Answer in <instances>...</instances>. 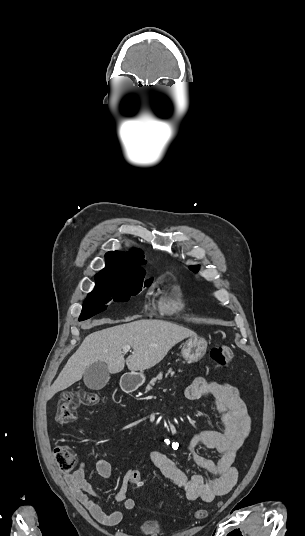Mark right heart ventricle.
Wrapping results in <instances>:
<instances>
[{
    "label": "right heart ventricle",
    "mask_w": 305,
    "mask_h": 536,
    "mask_svg": "<svg viewBox=\"0 0 305 536\" xmlns=\"http://www.w3.org/2000/svg\"><path fill=\"white\" fill-rule=\"evenodd\" d=\"M159 303L171 313H176L182 309V303L176 293H169L160 296Z\"/></svg>",
    "instance_id": "1"
}]
</instances>
